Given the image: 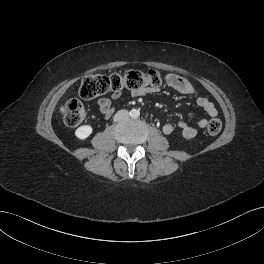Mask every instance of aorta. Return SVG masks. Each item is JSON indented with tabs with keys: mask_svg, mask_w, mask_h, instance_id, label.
I'll list each match as a JSON object with an SVG mask.
<instances>
[{
	"mask_svg": "<svg viewBox=\"0 0 264 264\" xmlns=\"http://www.w3.org/2000/svg\"><path fill=\"white\" fill-rule=\"evenodd\" d=\"M139 115H140V112H139V110H137V109H132V110L130 111V116H131L132 118H138Z\"/></svg>",
	"mask_w": 264,
	"mask_h": 264,
	"instance_id": "aorta-1",
	"label": "aorta"
}]
</instances>
